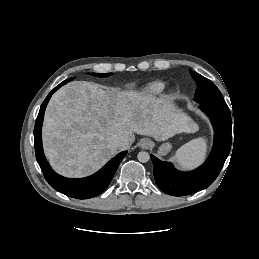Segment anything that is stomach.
Masks as SVG:
<instances>
[{
	"instance_id": "0dacf381",
	"label": "stomach",
	"mask_w": 259,
	"mask_h": 259,
	"mask_svg": "<svg viewBox=\"0 0 259 259\" xmlns=\"http://www.w3.org/2000/svg\"><path fill=\"white\" fill-rule=\"evenodd\" d=\"M172 146L170 143L166 142V143H163L159 150H158V153L159 155H166L170 150H171Z\"/></svg>"
}]
</instances>
